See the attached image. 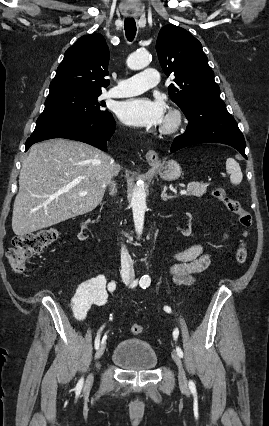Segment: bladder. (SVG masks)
I'll use <instances>...</instances> for the list:
<instances>
[{
    "label": "bladder",
    "mask_w": 269,
    "mask_h": 426,
    "mask_svg": "<svg viewBox=\"0 0 269 426\" xmlns=\"http://www.w3.org/2000/svg\"><path fill=\"white\" fill-rule=\"evenodd\" d=\"M111 360L126 372H151L158 365V356L152 346L135 338L118 342L112 351Z\"/></svg>",
    "instance_id": "1"
}]
</instances>
